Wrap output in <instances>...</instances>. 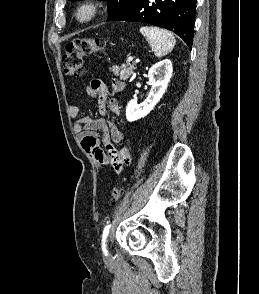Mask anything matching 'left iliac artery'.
<instances>
[{
    "mask_svg": "<svg viewBox=\"0 0 259 294\" xmlns=\"http://www.w3.org/2000/svg\"><path fill=\"white\" fill-rule=\"evenodd\" d=\"M110 227L111 225L108 224L105 226L104 230H103V234H102V249L104 251V253L107 255V250H106V240L108 238L109 235V231H110Z\"/></svg>",
    "mask_w": 259,
    "mask_h": 294,
    "instance_id": "44dca946",
    "label": "left iliac artery"
}]
</instances>
